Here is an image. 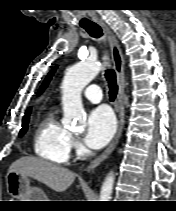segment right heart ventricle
I'll list each match as a JSON object with an SVG mask.
<instances>
[{
	"label": "right heart ventricle",
	"mask_w": 176,
	"mask_h": 211,
	"mask_svg": "<svg viewBox=\"0 0 176 211\" xmlns=\"http://www.w3.org/2000/svg\"><path fill=\"white\" fill-rule=\"evenodd\" d=\"M37 156L47 161L64 164L71 151V135L60 124L54 111L47 112L38 122L33 137Z\"/></svg>",
	"instance_id": "e07e8e85"
}]
</instances>
